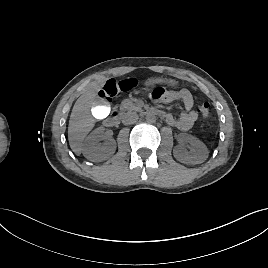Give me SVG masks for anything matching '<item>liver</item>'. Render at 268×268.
I'll return each mask as SVG.
<instances>
[{"mask_svg":"<svg viewBox=\"0 0 268 268\" xmlns=\"http://www.w3.org/2000/svg\"><path fill=\"white\" fill-rule=\"evenodd\" d=\"M103 82L93 84L86 89L75 102L68 125V140L72 151L76 155L82 152V141L95 125V118L91 109L97 105V93L102 88Z\"/></svg>","mask_w":268,"mask_h":268,"instance_id":"liver-1","label":"liver"}]
</instances>
